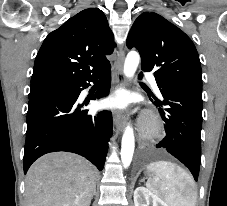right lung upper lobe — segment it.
I'll return each mask as SVG.
<instances>
[{
  "label": "right lung upper lobe",
  "instance_id": "cb5924a9",
  "mask_svg": "<svg viewBox=\"0 0 227 206\" xmlns=\"http://www.w3.org/2000/svg\"><path fill=\"white\" fill-rule=\"evenodd\" d=\"M114 36L103 11L85 9L45 38L34 63L31 83L76 82L100 75L110 66L106 55Z\"/></svg>",
  "mask_w": 227,
  "mask_h": 206
}]
</instances>
